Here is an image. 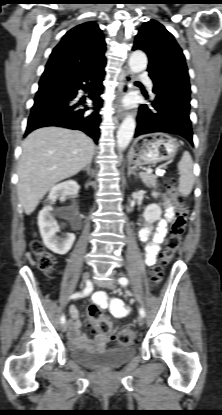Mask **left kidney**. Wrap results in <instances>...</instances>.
Segmentation results:
<instances>
[{
    "instance_id": "1",
    "label": "left kidney",
    "mask_w": 222,
    "mask_h": 415,
    "mask_svg": "<svg viewBox=\"0 0 222 415\" xmlns=\"http://www.w3.org/2000/svg\"><path fill=\"white\" fill-rule=\"evenodd\" d=\"M152 195L156 197L158 194L156 192H152ZM161 214L162 210L158 204H150L146 207L143 216L148 223H153L160 219Z\"/></svg>"
}]
</instances>
